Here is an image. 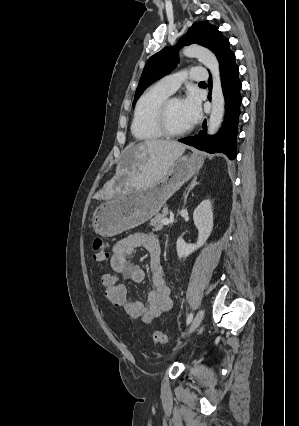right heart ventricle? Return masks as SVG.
<instances>
[{
  "instance_id": "obj_1",
  "label": "right heart ventricle",
  "mask_w": 299,
  "mask_h": 426,
  "mask_svg": "<svg viewBox=\"0 0 299 426\" xmlns=\"http://www.w3.org/2000/svg\"><path fill=\"white\" fill-rule=\"evenodd\" d=\"M171 95L159 83L148 88L138 100L131 131L139 141H155L163 137L158 130L155 117L160 104Z\"/></svg>"
}]
</instances>
